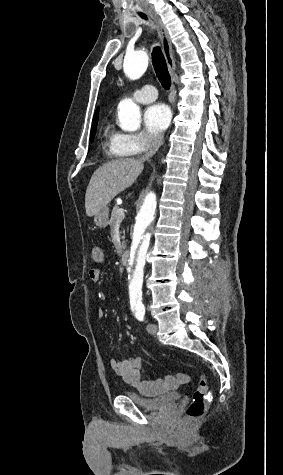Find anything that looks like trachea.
Returning a JSON list of instances; mask_svg holds the SVG:
<instances>
[{"instance_id":"3493384b","label":"trachea","mask_w":283,"mask_h":475,"mask_svg":"<svg viewBox=\"0 0 283 475\" xmlns=\"http://www.w3.org/2000/svg\"><path fill=\"white\" fill-rule=\"evenodd\" d=\"M139 16L143 19L148 20L146 15L143 13H139ZM151 55L153 67L157 78L159 79L162 87L165 90H169L171 86V78L161 48L159 46L154 47Z\"/></svg>"}]
</instances>
